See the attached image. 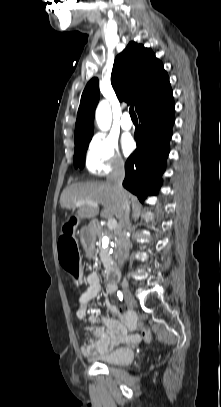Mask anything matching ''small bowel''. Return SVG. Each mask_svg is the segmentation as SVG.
<instances>
[{
    "label": "small bowel",
    "mask_w": 221,
    "mask_h": 407,
    "mask_svg": "<svg viewBox=\"0 0 221 407\" xmlns=\"http://www.w3.org/2000/svg\"><path fill=\"white\" fill-rule=\"evenodd\" d=\"M86 281L87 289L79 298L76 309L77 318L84 321L89 313L88 303L103 291L101 278L97 272L90 273ZM116 290L115 283H107L106 294H114ZM104 304L112 315L122 318L123 322L102 316L104 326H98L97 316H89L85 325L92 331V336L88 344L81 348L84 355L104 354L112 351L119 344H133L140 339L139 335L135 333L139 318L134 312L124 313L121 308L113 305L107 297H105Z\"/></svg>",
    "instance_id": "small-bowel-1"
}]
</instances>
